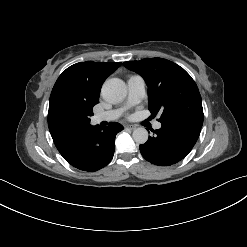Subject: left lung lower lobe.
Instances as JSON below:
<instances>
[{"label":"left lung lower lobe","instance_id":"0a47b994","mask_svg":"<svg viewBox=\"0 0 247 247\" xmlns=\"http://www.w3.org/2000/svg\"><path fill=\"white\" fill-rule=\"evenodd\" d=\"M155 136L139 146L142 156L159 166H169L182 160L195 145L201 127L183 122L162 123L153 130Z\"/></svg>","mask_w":247,"mask_h":247}]
</instances>
